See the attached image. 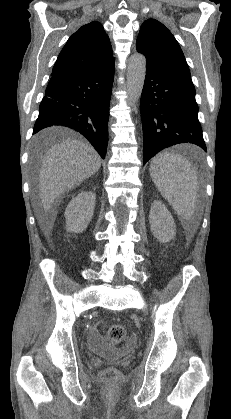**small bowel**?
<instances>
[{
    "label": "small bowel",
    "mask_w": 231,
    "mask_h": 419,
    "mask_svg": "<svg viewBox=\"0 0 231 419\" xmlns=\"http://www.w3.org/2000/svg\"><path fill=\"white\" fill-rule=\"evenodd\" d=\"M89 335H90V342H91V345H92L93 349L99 350L100 336H99V332L97 331V329L93 328L90 331Z\"/></svg>",
    "instance_id": "small-bowel-1"
}]
</instances>
